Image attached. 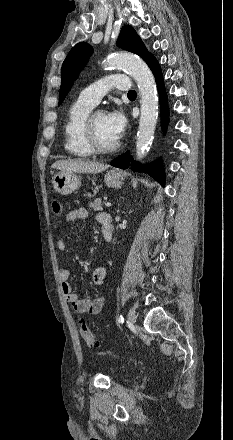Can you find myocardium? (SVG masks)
Wrapping results in <instances>:
<instances>
[{
	"label": "myocardium",
	"instance_id": "obj_1",
	"mask_svg": "<svg viewBox=\"0 0 233 440\" xmlns=\"http://www.w3.org/2000/svg\"><path fill=\"white\" fill-rule=\"evenodd\" d=\"M99 114H106V112L104 110H94L91 111L85 119L83 133L86 144L92 152L96 154L114 153L121 147V141L118 139L117 142L110 146H103L99 143L94 128V119Z\"/></svg>",
	"mask_w": 233,
	"mask_h": 440
}]
</instances>
